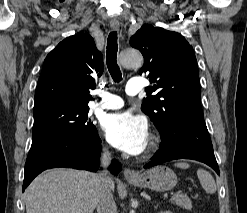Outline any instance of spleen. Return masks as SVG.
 <instances>
[{"label":"spleen","instance_id":"obj_1","mask_svg":"<svg viewBox=\"0 0 247 213\" xmlns=\"http://www.w3.org/2000/svg\"><path fill=\"white\" fill-rule=\"evenodd\" d=\"M176 166L182 169H187L189 168L190 165L187 163H177ZM197 176L202 187L207 193L213 194L216 192L215 180L213 179V177L209 172H207L204 169H198Z\"/></svg>","mask_w":247,"mask_h":213}]
</instances>
